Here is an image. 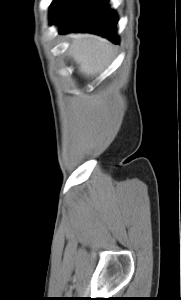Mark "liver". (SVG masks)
I'll list each match as a JSON object with an SVG mask.
<instances>
[{
    "label": "liver",
    "instance_id": "1",
    "mask_svg": "<svg viewBox=\"0 0 181 300\" xmlns=\"http://www.w3.org/2000/svg\"><path fill=\"white\" fill-rule=\"evenodd\" d=\"M70 38L68 55L85 77L96 76L111 63L114 48L107 40L91 34H76Z\"/></svg>",
    "mask_w": 181,
    "mask_h": 300
}]
</instances>
